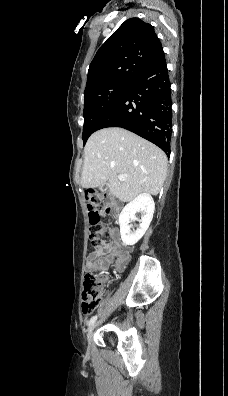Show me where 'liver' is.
<instances>
[{"mask_svg": "<svg viewBox=\"0 0 228 396\" xmlns=\"http://www.w3.org/2000/svg\"><path fill=\"white\" fill-rule=\"evenodd\" d=\"M167 157L153 143L119 127L93 133L84 148L83 188L107 184L110 194L129 202L142 193L157 195L166 179ZM119 175L126 180L120 181Z\"/></svg>", "mask_w": 228, "mask_h": 396, "instance_id": "1", "label": "liver"}]
</instances>
